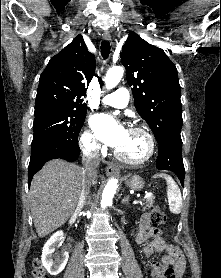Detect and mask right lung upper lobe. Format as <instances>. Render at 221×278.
Wrapping results in <instances>:
<instances>
[{"mask_svg":"<svg viewBox=\"0 0 221 278\" xmlns=\"http://www.w3.org/2000/svg\"><path fill=\"white\" fill-rule=\"evenodd\" d=\"M95 71V57L81 35L51 58L39 79L35 107L65 106L87 110L86 87Z\"/></svg>","mask_w":221,"mask_h":278,"instance_id":"right-lung-upper-lobe-1","label":"right lung upper lobe"}]
</instances>
